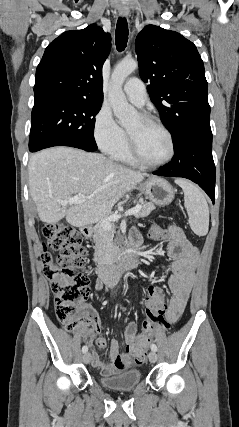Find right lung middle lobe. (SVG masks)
I'll return each instance as SVG.
<instances>
[{
    "mask_svg": "<svg viewBox=\"0 0 239 427\" xmlns=\"http://www.w3.org/2000/svg\"><path fill=\"white\" fill-rule=\"evenodd\" d=\"M102 102L55 98L35 100L31 114L29 150L71 146L96 150L93 136L95 116Z\"/></svg>",
    "mask_w": 239,
    "mask_h": 427,
    "instance_id": "right-lung-middle-lobe-1",
    "label": "right lung middle lobe"
}]
</instances>
